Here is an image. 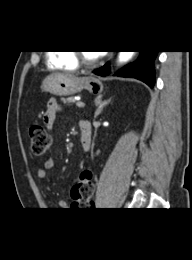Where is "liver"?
Returning a JSON list of instances; mask_svg holds the SVG:
<instances>
[{
    "label": "liver",
    "instance_id": "liver-1",
    "mask_svg": "<svg viewBox=\"0 0 192 260\" xmlns=\"http://www.w3.org/2000/svg\"><path fill=\"white\" fill-rule=\"evenodd\" d=\"M60 75L67 76V77H73V75H71V74H60Z\"/></svg>",
    "mask_w": 192,
    "mask_h": 260
}]
</instances>
